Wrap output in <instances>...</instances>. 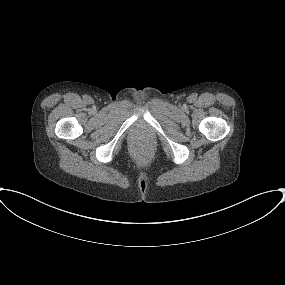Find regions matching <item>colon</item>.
<instances>
[{
	"label": "colon",
	"mask_w": 285,
	"mask_h": 285,
	"mask_svg": "<svg viewBox=\"0 0 285 285\" xmlns=\"http://www.w3.org/2000/svg\"><path fill=\"white\" fill-rule=\"evenodd\" d=\"M152 154V150L150 149V147L148 146H141L138 149V155L142 158V159H148Z\"/></svg>",
	"instance_id": "1"
}]
</instances>
